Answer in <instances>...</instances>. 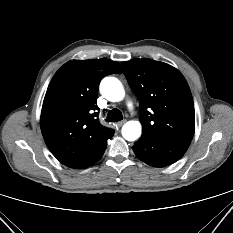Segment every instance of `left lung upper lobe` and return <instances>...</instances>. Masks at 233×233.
Returning <instances> with one entry per match:
<instances>
[{
  "label": "left lung upper lobe",
  "mask_w": 233,
  "mask_h": 233,
  "mask_svg": "<svg viewBox=\"0 0 233 233\" xmlns=\"http://www.w3.org/2000/svg\"><path fill=\"white\" fill-rule=\"evenodd\" d=\"M122 68L140 103L142 136L190 143L195 130L194 104L181 72L151 59L123 62Z\"/></svg>",
  "instance_id": "5c2ea615"
}]
</instances>
